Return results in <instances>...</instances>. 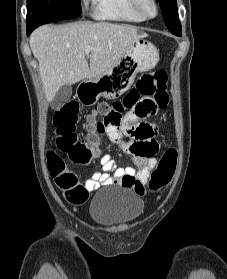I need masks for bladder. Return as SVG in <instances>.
Here are the masks:
<instances>
[{
	"instance_id": "31cf9c89",
	"label": "bladder",
	"mask_w": 227,
	"mask_h": 279,
	"mask_svg": "<svg viewBox=\"0 0 227 279\" xmlns=\"http://www.w3.org/2000/svg\"><path fill=\"white\" fill-rule=\"evenodd\" d=\"M143 207L141 199L127 188H110L94 196L90 217L107 228H124L138 219Z\"/></svg>"
}]
</instances>
